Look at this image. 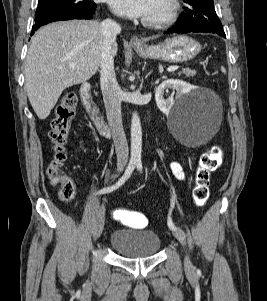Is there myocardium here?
I'll return each mask as SVG.
<instances>
[{
	"label": "myocardium",
	"instance_id": "f54148a6",
	"mask_svg": "<svg viewBox=\"0 0 267 301\" xmlns=\"http://www.w3.org/2000/svg\"><path fill=\"white\" fill-rule=\"evenodd\" d=\"M164 2L166 3L165 11L158 17L144 18L142 23L145 26L154 28L166 27L177 20L182 8L180 0H165Z\"/></svg>",
	"mask_w": 267,
	"mask_h": 301
}]
</instances>
